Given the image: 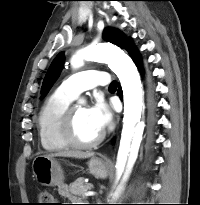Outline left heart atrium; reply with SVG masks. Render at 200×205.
<instances>
[{"instance_id":"obj_1","label":"left heart atrium","mask_w":200,"mask_h":205,"mask_svg":"<svg viewBox=\"0 0 200 205\" xmlns=\"http://www.w3.org/2000/svg\"><path fill=\"white\" fill-rule=\"evenodd\" d=\"M89 113L93 122L101 132L112 123V112L108 105L101 99H98L94 105L89 108Z\"/></svg>"}]
</instances>
